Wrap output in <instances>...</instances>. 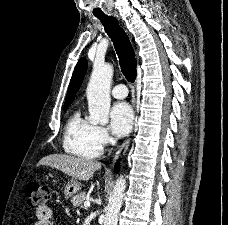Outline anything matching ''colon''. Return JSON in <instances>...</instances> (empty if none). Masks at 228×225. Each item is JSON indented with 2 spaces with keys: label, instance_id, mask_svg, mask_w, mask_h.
I'll return each mask as SVG.
<instances>
[{
  "label": "colon",
  "instance_id": "1",
  "mask_svg": "<svg viewBox=\"0 0 228 225\" xmlns=\"http://www.w3.org/2000/svg\"><path fill=\"white\" fill-rule=\"evenodd\" d=\"M25 193L31 208L38 212H44L48 207L46 202L49 201V190L45 184L31 181L28 183Z\"/></svg>",
  "mask_w": 228,
  "mask_h": 225
}]
</instances>
